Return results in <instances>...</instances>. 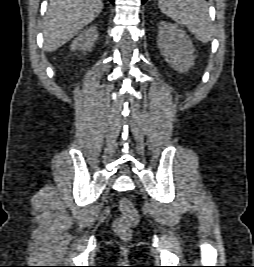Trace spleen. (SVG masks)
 <instances>
[{
  "label": "spleen",
  "instance_id": "spleen-1",
  "mask_svg": "<svg viewBox=\"0 0 254 267\" xmlns=\"http://www.w3.org/2000/svg\"><path fill=\"white\" fill-rule=\"evenodd\" d=\"M159 8L180 25H185L201 42L212 39L213 27L205 0H159Z\"/></svg>",
  "mask_w": 254,
  "mask_h": 267
}]
</instances>
